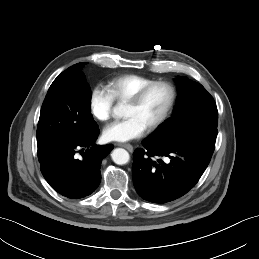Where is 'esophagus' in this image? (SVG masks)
<instances>
[{"mask_svg": "<svg viewBox=\"0 0 259 259\" xmlns=\"http://www.w3.org/2000/svg\"><path fill=\"white\" fill-rule=\"evenodd\" d=\"M115 145H116V146H119V147L126 148V149H127L128 151H130V152L133 151V146L130 145V144L116 143Z\"/></svg>", "mask_w": 259, "mask_h": 259, "instance_id": "34e87169", "label": "esophagus"}]
</instances>
